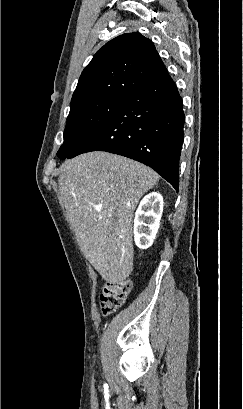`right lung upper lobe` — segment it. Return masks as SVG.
Wrapping results in <instances>:
<instances>
[{"instance_id":"1","label":"right lung upper lobe","mask_w":243,"mask_h":409,"mask_svg":"<svg viewBox=\"0 0 243 409\" xmlns=\"http://www.w3.org/2000/svg\"><path fill=\"white\" fill-rule=\"evenodd\" d=\"M168 75L151 40L126 33L106 43L83 70L71 105L101 98H127Z\"/></svg>"}]
</instances>
